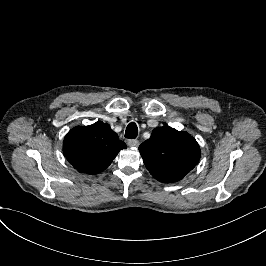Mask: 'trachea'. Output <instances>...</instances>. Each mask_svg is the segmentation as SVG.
<instances>
[{
    "mask_svg": "<svg viewBox=\"0 0 266 266\" xmlns=\"http://www.w3.org/2000/svg\"><path fill=\"white\" fill-rule=\"evenodd\" d=\"M138 135V128L136 123L131 122L128 124L125 132V137L129 139H135Z\"/></svg>",
    "mask_w": 266,
    "mask_h": 266,
    "instance_id": "obj_1",
    "label": "trachea"
}]
</instances>
